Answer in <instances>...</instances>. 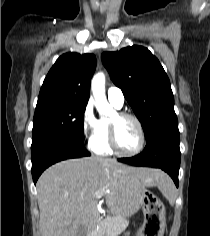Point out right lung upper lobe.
I'll return each instance as SVG.
<instances>
[{
  "instance_id": "1",
  "label": "right lung upper lobe",
  "mask_w": 210,
  "mask_h": 236,
  "mask_svg": "<svg viewBox=\"0 0 210 236\" xmlns=\"http://www.w3.org/2000/svg\"><path fill=\"white\" fill-rule=\"evenodd\" d=\"M95 68L96 58L93 54H63L48 72L37 103L48 100H76L87 104Z\"/></svg>"
}]
</instances>
